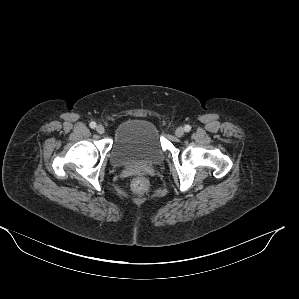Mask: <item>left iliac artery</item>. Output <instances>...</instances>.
Listing matches in <instances>:
<instances>
[{"label": "left iliac artery", "mask_w": 299, "mask_h": 299, "mask_svg": "<svg viewBox=\"0 0 299 299\" xmlns=\"http://www.w3.org/2000/svg\"><path fill=\"white\" fill-rule=\"evenodd\" d=\"M184 130H185L186 132H189V131L191 130L190 125H185Z\"/></svg>", "instance_id": "left-iliac-artery-1"}]
</instances>
